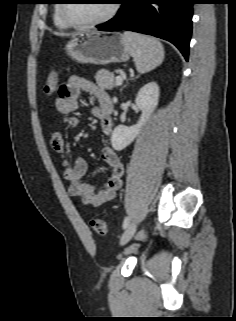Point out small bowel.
I'll list each match as a JSON object with an SVG mask.
<instances>
[{
	"instance_id": "obj_1",
	"label": "small bowel",
	"mask_w": 236,
	"mask_h": 321,
	"mask_svg": "<svg viewBox=\"0 0 236 321\" xmlns=\"http://www.w3.org/2000/svg\"><path fill=\"white\" fill-rule=\"evenodd\" d=\"M82 92L92 94L97 99L98 105L93 109V112L100 121L102 132L109 136L113 128L109 108L111 104L110 96L103 88L79 76H71L61 86L55 100L57 111L64 116L63 124L70 129L79 126V118L70 114L78 109ZM51 145L63 160L64 176L68 183L70 196L79 198L83 203L93 206H100L116 197V192L121 186L124 166L112 148L106 146L101 149L100 155L110 168V176L102 187H96L84 181L87 173V163L84 158L81 156H76L71 160L66 158V143L61 132L55 131L52 133Z\"/></svg>"
}]
</instances>
